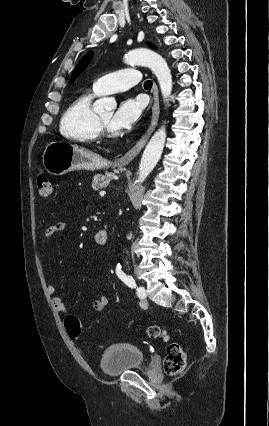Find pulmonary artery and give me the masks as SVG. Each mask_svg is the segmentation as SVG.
Here are the masks:
<instances>
[{
    "label": "pulmonary artery",
    "instance_id": "1",
    "mask_svg": "<svg viewBox=\"0 0 269 426\" xmlns=\"http://www.w3.org/2000/svg\"><path fill=\"white\" fill-rule=\"evenodd\" d=\"M142 78L140 70L136 68L121 69L102 76L93 84V91L98 95L125 91Z\"/></svg>",
    "mask_w": 269,
    "mask_h": 426
}]
</instances>
